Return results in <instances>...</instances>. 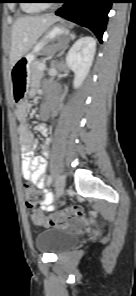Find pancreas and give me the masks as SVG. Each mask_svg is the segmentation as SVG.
Returning <instances> with one entry per match:
<instances>
[{
  "instance_id": "cf45deb5",
  "label": "pancreas",
  "mask_w": 136,
  "mask_h": 296,
  "mask_svg": "<svg viewBox=\"0 0 136 296\" xmlns=\"http://www.w3.org/2000/svg\"><path fill=\"white\" fill-rule=\"evenodd\" d=\"M41 64L39 62H34L33 63V77L34 78H38V77H41L43 75L42 71L39 70V66Z\"/></svg>"
}]
</instances>
